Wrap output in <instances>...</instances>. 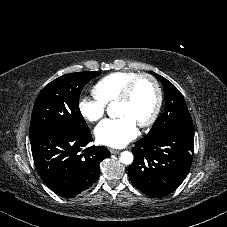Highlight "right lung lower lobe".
Masks as SVG:
<instances>
[{"mask_svg":"<svg viewBox=\"0 0 227 227\" xmlns=\"http://www.w3.org/2000/svg\"><path fill=\"white\" fill-rule=\"evenodd\" d=\"M90 130L49 129L30 138L35 166L56 194L72 198L98 180L100 162L110 155L103 146L86 147Z\"/></svg>","mask_w":227,"mask_h":227,"instance_id":"1","label":"right lung lower lobe"}]
</instances>
